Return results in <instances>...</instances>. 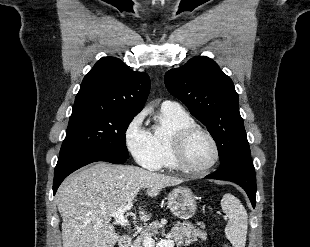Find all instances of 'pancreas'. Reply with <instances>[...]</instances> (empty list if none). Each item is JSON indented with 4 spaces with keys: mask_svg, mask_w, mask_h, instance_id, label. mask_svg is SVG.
Wrapping results in <instances>:
<instances>
[{
    "mask_svg": "<svg viewBox=\"0 0 310 247\" xmlns=\"http://www.w3.org/2000/svg\"><path fill=\"white\" fill-rule=\"evenodd\" d=\"M160 232L164 235V228L162 224L158 221L152 222L141 232V235L134 240L132 247H143V239L145 236H154ZM167 237L172 239L177 247H179L182 245L189 246L193 242L198 241V239L206 240L207 234L206 232L196 228L190 222H182L176 223L168 233Z\"/></svg>",
    "mask_w": 310,
    "mask_h": 247,
    "instance_id": "obj_1",
    "label": "pancreas"
}]
</instances>
